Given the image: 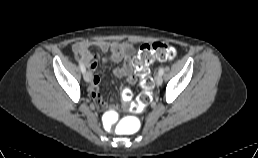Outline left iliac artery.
Segmentation results:
<instances>
[{
    "label": "left iliac artery",
    "instance_id": "obj_1",
    "mask_svg": "<svg viewBox=\"0 0 258 158\" xmlns=\"http://www.w3.org/2000/svg\"><path fill=\"white\" fill-rule=\"evenodd\" d=\"M158 73H159V75H163V73H164V68L163 67H161L160 69H159V71H158Z\"/></svg>",
    "mask_w": 258,
    "mask_h": 158
}]
</instances>
